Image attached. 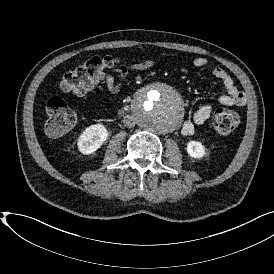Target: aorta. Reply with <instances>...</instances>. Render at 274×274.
I'll list each match as a JSON object with an SVG mask.
<instances>
[{"label":"aorta","instance_id":"1","mask_svg":"<svg viewBox=\"0 0 274 274\" xmlns=\"http://www.w3.org/2000/svg\"><path fill=\"white\" fill-rule=\"evenodd\" d=\"M134 121L155 132H171L182 122L184 109L182 99L171 87L153 84L143 89L132 105Z\"/></svg>","mask_w":274,"mask_h":274}]
</instances>
